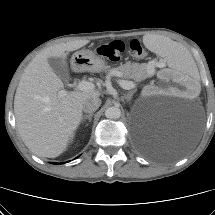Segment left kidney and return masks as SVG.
Wrapping results in <instances>:
<instances>
[{
	"instance_id": "obj_1",
	"label": "left kidney",
	"mask_w": 215,
	"mask_h": 215,
	"mask_svg": "<svg viewBox=\"0 0 215 215\" xmlns=\"http://www.w3.org/2000/svg\"><path fill=\"white\" fill-rule=\"evenodd\" d=\"M160 88L167 94L194 97L199 92L197 82L177 70L164 69L160 73Z\"/></svg>"
}]
</instances>
